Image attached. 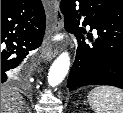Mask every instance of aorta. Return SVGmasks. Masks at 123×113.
<instances>
[{
	"label": "aorta",
	"instance_id": "obj_1",
	"mask_svg": "<svg viewBox=\"0 0 123 113\" xmlns=\"http://www.w3.org/2000/svg\"><path fill=\"white\" fill-rule=\"evenodd\" d=\"M69 66H70L69 54L68 52H63L62 54L59 55V57H57V59L53 62V64L49 69L48 84L51 87H55L58 84H60L67 75Z\"/></svg>",
	"mask_w": 123,
	"mask_h": 113
}]
</instances>
